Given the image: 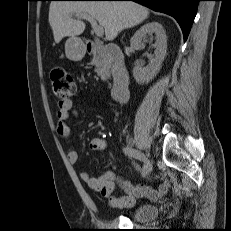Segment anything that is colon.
I'll use <instances>...</instances> for the list:
<instances>
[{
	"instance_id": "1",
	"label": "colon",
	"mask_w": 231,
	"mask_h": 231,
	"mask_svg": "<svg viewBox=\"0 0 231 231\" xmlns=\"http://www.w3.org/2000/svg\"><path fill=\"white\" fill-rule=\"evenodd\" d=\"M53 93L61 100H70L78 93L75 79L62 67H54L50 73Z\"/></svg>"
}]
</instances>
